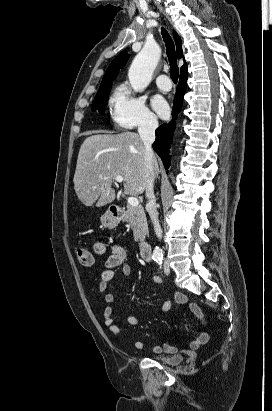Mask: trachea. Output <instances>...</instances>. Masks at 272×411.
I'll return each mask as SVG.
<instances>
[{
  "label": "trachea",
  "mask_w": 272,
  "mask_h": 411,
  "mask_svg": "<svg viewBox=\"0 0 272 411\" xmlns=\"http://www.w3.org/2000/svg\"><path fill=\"white\" fill-rule=\"evenodd\" d=\"M161 34L165 42L166 53H167V57L170 63V77L174 83H177L178 76H179V69L177 66V58H176L174 42L171 36L169 35V33L164 28L161 29Z\"/></svg>",
  "instance_id": "trachea-1"
}]
</instances>
